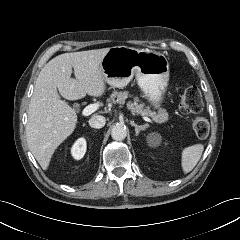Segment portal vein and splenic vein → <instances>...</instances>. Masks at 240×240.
Segmentation results:
<instances>
[{"instance_id":"18ae733b","label":"portal vein and splenic vein","mask_w":240,"mask_h":240,"mask_svg":"<svg viewBox=\"0 0 240 240\" xmlns=\"http://www.w3.org/2000/svg\"><path fill=\"white\" fill-rule=\"evenodd\" d=\"M99 104L98 103H95V104H90L88 106H86L83 110H82V115L83 116H89L90 114L94 113L98 108H99ZM143 119L146 121V122H149V123H154L153 120H151L150 118L146 117V116H143Z\"/></svg>"}]
</instances>
